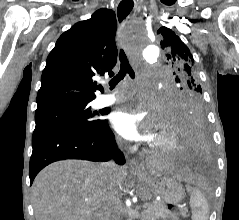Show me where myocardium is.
<instances>
[{"label":"myocardium","mask_w":239,"mask_h":220,"mask_svg":"<svg viewBox=\"0 0 239 220\" xmlns=\"http://www.w3.org/2000/svg\"><path fill=\"white\" fill-rule=\"evenodd\" d=\"M165 138L161 142L150 143L148 150L151 153H170L177 150L179 146V139L176 132L171 127H165L163 129Z\"/></svg>","instance_id":"f54148a6"}]
</instances>
